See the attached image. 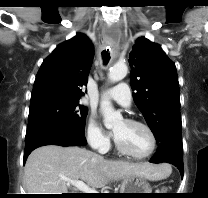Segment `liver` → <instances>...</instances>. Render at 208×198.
<instances>
[{
	"label": "liver",
	"mask_w": 208,
	"mask_h": 198,
	"mask_svg": "<svg viewBox=\"0 0 208 198\" xmlns=\"http://www.w3.org/2000/svg\"><path fill=\"white\" fill-rule=\"evenodd\" d=\"M167 173L170 169L165 165L111 161L77 146L46 145L29 155L24 168V186L27 194H63L68 193L64 178L101 188L110 181L130 176L159 180Z\"/></svg>",
	"instance_id": "liver-1"
}]
</instances>
